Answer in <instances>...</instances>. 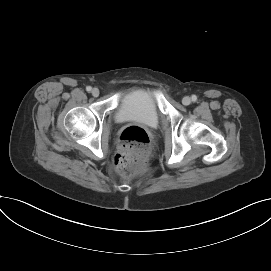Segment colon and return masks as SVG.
Listing matches in <instances>:
<instances>
[{"label":"colon","mask_w":271,"mask_h":271,"mask_svg":"<svg viewBox=\"0 0 271 271\" xmlns=\"http://www.w3.org/2000/svg\"><path fill=\"white\" fill-rule=\"evenodd\" d=\"M150 138L145 129L130 126L120 135L118 151L114 158L116 169L124 175L139 172L148 157Z\"/></svg>","instance_id":"1"}]
</instances>
